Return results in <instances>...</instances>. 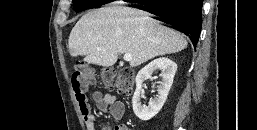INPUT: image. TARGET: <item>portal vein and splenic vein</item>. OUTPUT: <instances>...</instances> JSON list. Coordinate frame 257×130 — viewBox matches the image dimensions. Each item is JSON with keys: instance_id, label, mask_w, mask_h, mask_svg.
I'll return each mask as SVG.
<instances>
[{"instance_id": "portal-vein-and-splenic-vein-1", "label": "portal vein and splenic vein", "mask_w": 257, "mask_h": 130, "mask_svg": "<svg viewBox=\"0 0 257 130\" xmlns=\"http://www.w3.org/2000/svg\"><path fill=\"white\" fill-rule=\"evenodd\" d=\"M123 59L125 61H129L130 62L132 60V55L131 54H124Z\"/></svg>"}]
</instances>
